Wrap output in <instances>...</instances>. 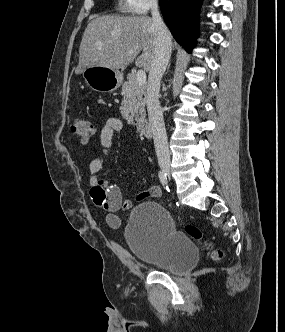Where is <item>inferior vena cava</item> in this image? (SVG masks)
<instances>
[{
	"label": "inferior vena cava",
	"instance_id": "1",
	"mask_svg": "<svg viewBox=\"0 0 285 332\" xmlns=\"http://www.w3.org/2000/svg\"><path fill=\"white\" fill-rule=\"evenodd\" d=\"M151 14L155 36V52L149 70L146 103L158 162L159 164H169L170 152L163 120V112L159 103V91L161 78L166 70L171 55V39L169 30L158 11L157 0H154L152 3Z\"/></svg>",
	"mask_w": 285,
	"mask_h": 332
}]
</instances>
